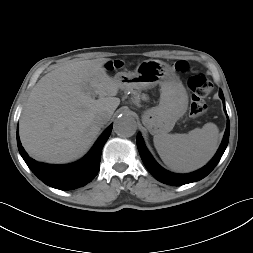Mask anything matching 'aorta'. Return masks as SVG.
Here are the masks:
<instances>
[{"mask_svg": "<svg viewBox=\"0 0 253 253\" xmlns=\"http://www.w3.org/2000/svg\"><path fill=\"white\" fill-rule=\"evenodd\" d=\"M113 129L120 137H131L137 130L136 120L130 114H120L114 122Z\"/></svg>", "mask_w": 253, "mask_h": 253, "instance_id": "obj_1", "label": "aorta"}]
</instances>
